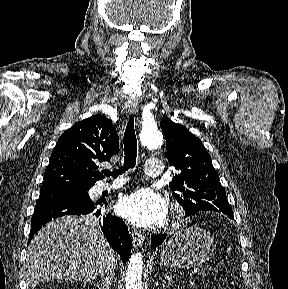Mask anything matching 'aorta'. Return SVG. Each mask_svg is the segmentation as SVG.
<instances>
[{
  "label": "aorta",
  "mask_w": 288,
  "mask_h": 289,
  "mask_svg": "<svg viewBox=\"0 0 288 289\" xmlns=\"http://www.w3.org/2000/svg\"><path fill=\"white\" fill-rule=\"evenodd\" d=\"M140 141L148 149H158L163 144V137L156 126L143 128L140 134ZM143 255L140 252L134 253L127 264L126 289H143Z\"/></svg>",
  "instance_id": "aorta-1"
}]
</instances>
